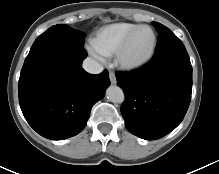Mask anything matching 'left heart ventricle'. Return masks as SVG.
<instances>
[{
    "label": "left heart ventricle",
    "mask_w": 219,
    "mask_h": 174,
    "mask_svg": "<svg viewBox=\"0 0 219 174\" xmlns=\"http://www.w3.org/2000/svg\"><path fill=\"white\" fill-rule=\"evenodd\" d=\"M152 40L153 35L149 29L139 30L128 47L126 58L128 60H137L144 57L151 47Z\"/></svg>",
    "instance_id": "obj_1"
}]
</instances>
